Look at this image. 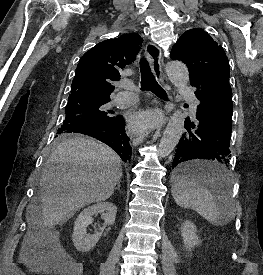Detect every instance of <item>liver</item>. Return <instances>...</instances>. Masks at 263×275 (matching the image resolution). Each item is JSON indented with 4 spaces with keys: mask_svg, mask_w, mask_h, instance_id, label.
<instances>
[{
    "mask_svg": "<svg viewBox=\"0 0 263 275\" xmlns=\"http://www.w3.org/2000/svg\"><path fill=\"white\" fill-rule=\"evenodd\" d=\"M121 176L120 158L111 148L90 138H68L49 156L39 200L28 214L37 213L45 227L63 224L86 205L108 199Z\"/></svg>",
    "mask_w": 263,
    "mask_h": 275,
    "instance_id": "obj_1",
    "label": "liver"
}]
</instances>
